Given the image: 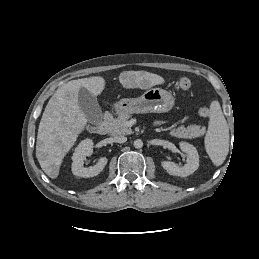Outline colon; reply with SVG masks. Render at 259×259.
I'll use <instances>...</instances> for the list:
<instances>
[{
  "mask_svg": "<svg viewBox=\"0 0 259 259\" xmlns=\"http://www.w3.org/2000/svg\"><path fill=\"white\" fill-rule=\"evenodd\" d=\"M178 86L180 87V89L186 91V90L190 89V87H191V80L187 77H181L178 81ZM199 114H200V116L206 118L209 116L210 110L208 107L203 106L199 109Z\"/></svg>",
  "mask_w": 259,
  "mask_h": 259,
  "instance_id": "1",
  "label": "colon"
}]
</instances>
